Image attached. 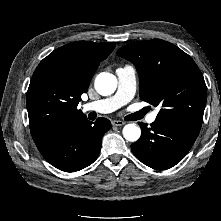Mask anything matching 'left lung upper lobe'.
<instances>
[{
    "mask_svg": "<svg viewBox=\"0 0 221 221\" xmlns=\"http://www.w3.org/2000/svg\"><path fill=\"white\" fill-rule=\"evenodd\" d=\"M140 77V98L161 109L157 119L201 128L207 100L203 75L194 60L161 39L133 42L117 51Z\"/></svg>",
    "mask_w": 221,
    "mask_h": 221,
    "instance_id": "left-lung-upper-lobe-1",
    "label": "left lung upper lobe"
}]
</instances>
